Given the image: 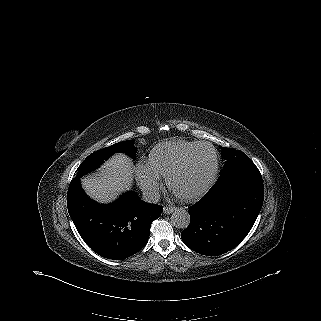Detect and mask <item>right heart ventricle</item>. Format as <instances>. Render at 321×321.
Here are the masks:
<instances>
[{"instance_id": "1", "label": "right heart ventricle", "mask_w": 321, "mask_h": 321, "mask_svg": "<svg viewBox=\"0 0 321 321\" xmlns=\"http://www.w3.org/2000/svg\"><path fill=\"white\" fill-rule=\"evenodd\" d=\"M198 143L183 140L158 143L148 156L150 170L158 177H165L167 172Z\"/></svg>"}]
</instances>
